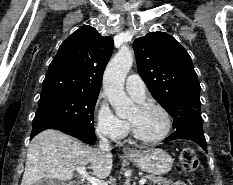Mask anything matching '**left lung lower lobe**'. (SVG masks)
Returning a JSON list of instances; mask_svg holds the SVG:
<instances>
[{
    "instance_id": "left-lung-lower-lobe-1",
    "label": "left lung lower lobe",
    "mask_w": 233,
    "mask_h": 185,
    "mask_svg": "<svg viewBox=\"0 0 233 185\" xmlns=\"http://www.w3.org/2000/svg\"><path fill=\"white\" fill-rule=\"evenodd\" d=\"M175 139L192 140L199 144L207 153V145L202 128V122L192 123L179 130H176V132L172 133L167 139L164 140V142Z\"/></svg>"
}]
</instances>
